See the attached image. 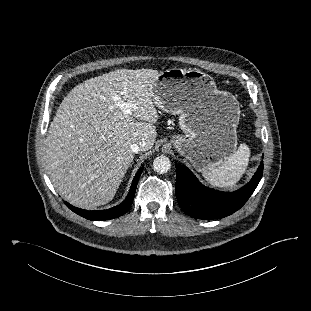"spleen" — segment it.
Here are the masks:
<instances>
[{
    "mask_svg": "<svg viewBox=\"0 0 311 311\" xmlns=\"http://www.w3.org/2000/svg\"><path fill=\"white\" fill-rule=\"evenodd\" d=\"M250 149L246 144H240L222 165L203 172L204 179L213 187L233 188L247 170Z\"/></svg>",
    "mask_w": 311,
    "mask_h": 311,
    "instance_id": "spleen-1",
    "label": "spleen"
}]
</instances>
